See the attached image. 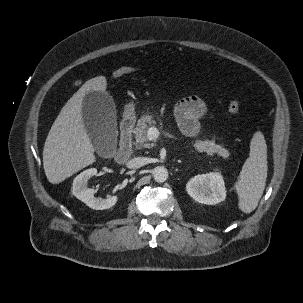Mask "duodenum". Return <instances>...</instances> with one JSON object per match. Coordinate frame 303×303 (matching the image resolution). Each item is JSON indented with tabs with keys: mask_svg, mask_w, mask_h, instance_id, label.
Wrapping results in <instances>:
<instances>
[{
	"mask_svg": "<svg viewBox=\"0 0 303 303\" xmlns=\"http://www.w3.org/2000/svg\"><path fill=\"white\" fill-rule=\"evenodd\" d=\"M134 120L130 117L123 119L120 127V143L115 154L118 163L126 162L132 154V132Z\"/></svg>",
	"mask_w": 303,
	"mask_h": 303,
	"instance_id": "obj_1",
	"label": "duodenum"
}]
</instances>
